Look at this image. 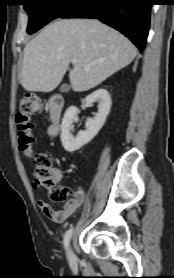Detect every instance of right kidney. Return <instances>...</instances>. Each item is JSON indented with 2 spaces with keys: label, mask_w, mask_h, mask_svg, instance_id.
Instances as JSON below:
<instances>
[{
  "label": "right kidney",
  "mask_w": 174,
  "mask_h": 278,
  "mask_svg": "<svg viewBox=\"0 0 174 278\" xmlns=\"http://www.w3.org/2000/svg\"><path fill=\"white\" fill-rule=\"evenodd\" d=\"M85 101L87 105H92L94 102L98 103V112L93 119L87 120L85 131H80L76 137L70 133L73 120L79 112L78 108L75 106H70L66 110L62 120L61 142L64 149L70 153L79 150L98 134L110 112L111 97L106 89L100 88L94 91L86 97Z\"/></svg>",
  "instance_id": "1"
}]
</instances>
